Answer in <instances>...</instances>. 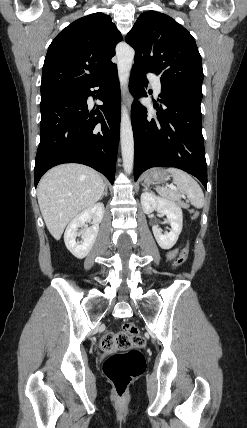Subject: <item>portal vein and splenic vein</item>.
<instances>
[{
    "label": "portal vein and splenic vein",
    "mask_w": 247,
    "mask_h": 428,
    "mask_svg": "<svg viewBox=\"0 0 247 428\" xmlns=\"http://www.w3.org/2000/svg\"><path fill=\"white\" fill-rule=\"evenodd\" d=\"M171 188H172L173 190H177V188H176V187H174V186H172Z\"/></svg>",
    "instance_id": "portal-vein-and-splenic-vein-1"
}]
</instances>
